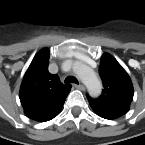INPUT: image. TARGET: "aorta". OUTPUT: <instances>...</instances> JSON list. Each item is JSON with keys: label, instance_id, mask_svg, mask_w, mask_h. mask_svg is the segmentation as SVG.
Instances as JSON below:
<instances>
[{"label": "aorta", "instance_id": "aorta-1", "mask_svg": "<svg viewBox=\"0 0 145 145\" xmlns=\"http://www.w3.org/2000/svg\"><path fill=\"white\" fill-rule=\"evenodd\" d=\"M76 72L91 95L97 96L101 93L102 84L93 69L80 64Z\"/></svg>", "mask_w": 145, "mask_h": 145}]
</instances>
